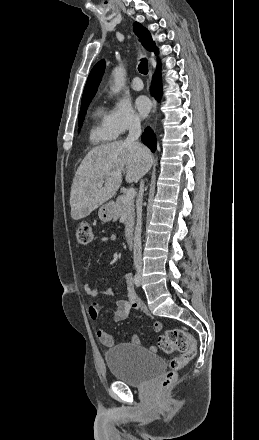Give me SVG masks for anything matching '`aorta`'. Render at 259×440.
<instances>
[{"label":"aorta","instance_id":"762f6f07","mask_svg":"<svg viewBox=\"0 0 259 440\" xmlns=\"http://www.w3.org/2000/svg\"><path fill=\"white\" fill-rule=\"evenodd\" d=\"M113 80L114 84L111 87L113 93H119L125 84V69L121 66H117L114 68L113 72Z\"/></svg>","mask_w":259,"mask_h":440}]
</instances>
